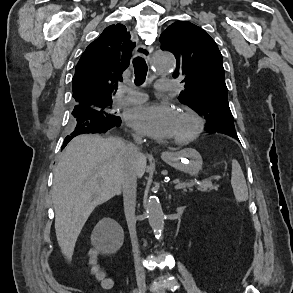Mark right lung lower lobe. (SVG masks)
I'll return each instance as SVG.
<instances>
[{
  "label": "right lung lower lobe",
  "mask_w": 293,
  "mask_h": 293,
  "mask_svg": "<svg viewBox=\"0 0 293 293\" xmlns=\"http://www.w3.org/2000/svg\"><path fill=\"white\" fill-rule=\"evenodd\" d=\"M75 121V129L66 136L62 149L75 136L83 133H102L118 127L121 124L120 118L113 114H104L92 108L75 106L72 111Z\"/></svg>",
  "instance_id": "obj_1"
}]
</instances>
